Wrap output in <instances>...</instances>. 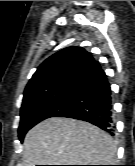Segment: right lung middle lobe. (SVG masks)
<instances>
[{
    "label": "right lung middle lobe",
    "instance_id": "dd1d6c3e",
    "mask_svg": "<svg viewBox=\"0 0 135 166\" xmlns=\"http://www.w3.org/2000/svg\"><path fill=\"white\" fill-rule=\"evenodd\" d=\"M71 98L72 94L68 85L57 88L37 99L23 103L18 129L20 141H23L27 131L34 125L44 119L55 117L57 114L65 110L70 103Z\"/></svg>",
    "mask_w": 135,
    "mask_h": 166
}]
</instances>
